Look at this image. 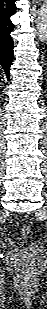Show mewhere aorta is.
<instances>
[{
    "label": "aorta",
    "instance_id": "762f6f07",
    "mask_svg": "<svg viewBox=\"0 0 47 309\" xmlns=\"http://www.w3.org/2000/svg\"><path fill=\"white\" fill-rule=\"evenodd\" d=\"M36 29H37V37L39 41L45 42L47 39V8L46 6L42 7L39 12Z\"/></svg>",
    "mask_w": 47,
    "mask_h": 309
}]
</instances>
